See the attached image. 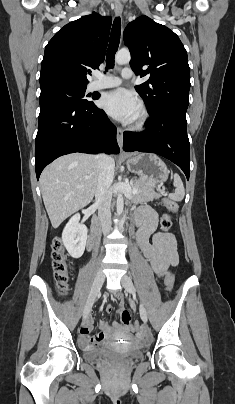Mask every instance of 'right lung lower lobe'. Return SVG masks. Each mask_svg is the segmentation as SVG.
Returning <instances> with one entry per match:
<instances>
[{"instance_id":"98d812e1","label":"right lung lower lobe","mask_w":235,"mask_h":404,"mask_svg":"<svg viewBox=\"0 0 235 404\" xmlns=\"http://www.w3.org/2000/svg\"><path fill=\"white\" fill-rule=\"evenodd\" d=\"M102 151L117 154L120 149L116 127L94 103L86 106L60 102L40 104L35 141L37 179L46 165L62 155Z\"/></svg>"}]
</instances>
